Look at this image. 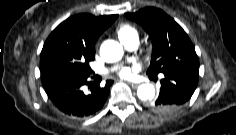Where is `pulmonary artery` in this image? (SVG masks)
<instances>
[{"label":"pulmonary artery","mask_w":236,"mask_h":135,"mask_svg":"<svg viewBox=\"0 0 236 135\" xmlns=\"http://www.w3.org/2000/svg\"><path fill=\"white\" fill-rule=\"evenodd\" d=\"M123 44L128 50H134L138 45V38H132Z\"/></svg>","instance_id":"1"}]
</instances>
